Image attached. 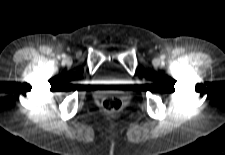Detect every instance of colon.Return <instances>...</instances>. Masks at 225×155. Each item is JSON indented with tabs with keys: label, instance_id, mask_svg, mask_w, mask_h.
Returning a JSON list of instances; mask_svg holds the SVG:
<instances>
[{
	"label": "colon",
	"instance_id": "1",
	"mask_svg": "<svg viewBox=\"0 0 225 155\" xmlns=\"http://www.w3.org/2000/svg\"><path fill=\"white\" fill-rule=\"evenodd\" d=\"M101 105L108 112H118L123 106V101L119 96L111 95L104 97Z\"/></svg>",
	"mask_w": 225,
	"mask_h": 155
}]
</instances>
